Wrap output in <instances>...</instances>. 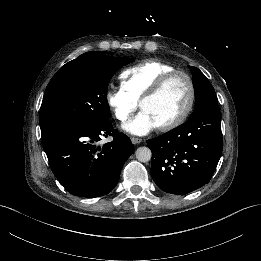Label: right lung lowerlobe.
Returning a JSON list of instances; mask_svg holds the SVG:
<instances>
[{"label": "right lung lower lobe", "instance_id": "right-lung-lower-lobe-1", "mask_svg": "<svg viewBox=\"0 0 261 261\" xmlns=\"http://www.w3.org/2000/svg\"><path fill=\"white\" fill-rule=\"evenodd\" d=\"M113 140L98 146L100 137ZM53 174L72 195L95 198L117 185L125 161L133 153L131 140L110 121L91 126H61L42 138Z\"/></svg>", "mask_w": 261, "mask_h": 261}]
</instances>
